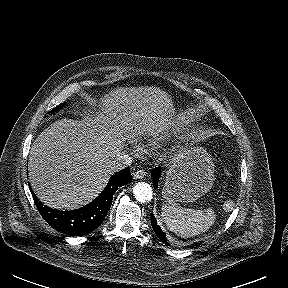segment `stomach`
I'll return each instance as SVG.
<instances>
[{
    "mask_svg": "<svg viewBox=\"0 0 288 288\" xmlns=\"http://www.w3.org/2000/svg\"><path fill=\"white\" fill-rule=\"evenodd\" d=\"M215 168L202 147L180 150L170 162L162 190L167 202L189 203L205 195L213 186Z\"/></svg>",
    "mask_w": 288,
    "mask_h": 288,
    "instance_id": "0dacf381",
    "label": "stomach"
}]
</instances>
